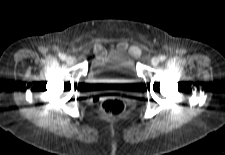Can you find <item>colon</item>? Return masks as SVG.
<instances>
[{"instance_id":"obj_1","label":"colon","mask_w":225,"mask_h":155,"mask_svg":"<svg viewBox=\"0 0 225 155\" xmlns=\"http://www.w3.org/2000/svg\"><path fill=\"white\" fill-rule=\"evenodd\" d=\"M95 103L99 105L102 114L109 118L121 116L126 109L124 98L117 95L97 98Z\"/></svg>"}]
</instances>
